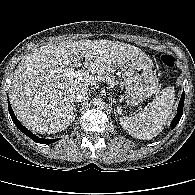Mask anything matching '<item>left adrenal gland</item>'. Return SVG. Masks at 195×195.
I'll list each match as a JSON object with an SVG mask.
<instances>
[{"mask_svg": "<svg viewBox=\"0 0 195 195\" xmlns=\"http://www.w3.org/2000/svg\"><path fill=\"white\" fill-rule=\"evenodd\" d=\"M116 112L118 113V110H115V114H116Z\"/></svg>", "mask_w": 195, "mask_h": 195, "instance_id": "left-adrenal-gland-1", "label": "left adrenal gland"}]
</instances>
